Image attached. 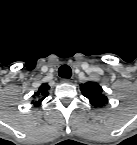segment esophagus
Returning <instances> with one entry per match:
<instances>
[{"label": "esophagus", "mask_w": 137, "mask_h": 145, "mask_svg": "<svg viewBox=\"0 0 137 145\" xmlns=\"http://www.w3.org/2000/svg\"><path fill=\"white\" fill-rule=\"evenodd\" d=\"M62 82L63 83H71L72 81H71V79L64 78V79H62Z\"/></svg>", "instance_id": "34e87169"}]
</instances>
